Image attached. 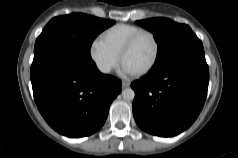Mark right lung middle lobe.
<instances>
[{"label": "right lung middle lobe", "instance_id": "right-lung-middle-lobe-1", "mask_svg": "<svg viewBox=\"0 0 238 158\" xmlns=\"http://www.w3.org/2000/svg\"><path fill=\"white\" fill-rule=\"evenodd\" d=\"M113 20L72 13L55 17L45 26L37 38L34 52L47 44L61 45L75 54L91 59L90 48L96 36L112 26Z\"/></svg>", "mask_w": 238, "mask_h": 158}]
</instances>
